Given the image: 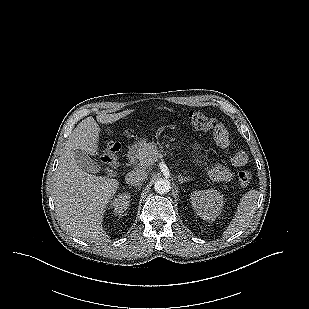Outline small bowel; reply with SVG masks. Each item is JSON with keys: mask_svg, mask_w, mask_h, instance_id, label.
<instances>
[{"mask_svg": "<svg viewBox=\"0 0 309 309\" xmlns=\"http://www.w3.org/2000/svg\"><path fill=\"white\" fill-rule=\"evenodd\" d=\"M214 140L221 148L229 146V134L223 125H219L218 129L214 132ZM231 162L236 167H242L247 164L248 156L244 151H238L232 155ZM209 176L215 182H227L232 180L234 173L226 164L218 163L210 169Z\"/></svg>", "mask_w": 309, "mask_h": 309, "instance_id": "small-bowel-1", "label": "small bowel"}]
</instances>
